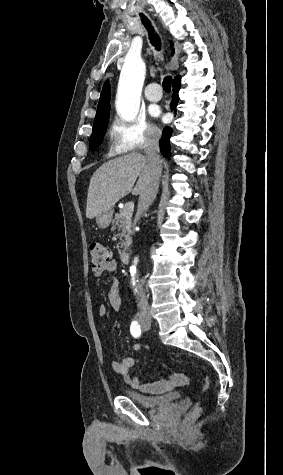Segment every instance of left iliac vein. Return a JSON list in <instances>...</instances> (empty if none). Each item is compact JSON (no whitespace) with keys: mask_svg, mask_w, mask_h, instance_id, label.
Wrapping results in <instances>:
<instances>
[{"mask_svg":"<svg viewBox=\"0 0 283 475\" xmlns=\"http://www.w3.org/2000/svg\"><path fill=\"white\" fill-rule=\"evenodd\" d=\"M146 316H147L148 321L143 323L142 325L143 330H149L151 327V315L147 314Z\"/></svg>","mask_w":283,"mask_h":475,"instance_id":"obj_1","label":"left iliac vein"}]
</instances>
